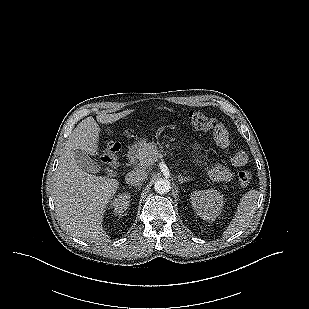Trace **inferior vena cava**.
I'll return each instance as SVG.
<instances>
[{
  "instance_id": "inferior-vena-cava-1",
  "label": "inferior vena cava",
  "mask_w": 309,
  "mask_h": 309,
  "mask_svg": "<svg viewBox=\"0 0 309 309\" xmlns=\"http://www.w3.org/2000/svg\"><path fill=\"white\" fill-rule=\"evenodd\" d=\"M147 178V173L144 169L135 168L134 170L127 173L125 181L131 185H141V183Z\"/></svg>"
}]
</instances>
